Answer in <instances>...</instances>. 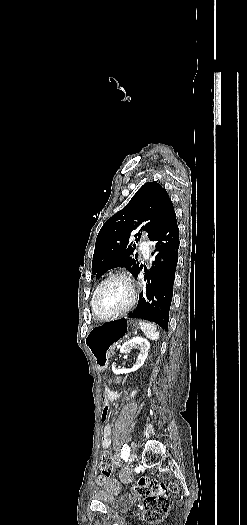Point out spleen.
Returning <instances> with one entry per match:
<instances>
[{
    "mask_svg": "<svg viewBox=\"0 0 247 525\" xmlns=\"http://www.w3.org/2000/svg\"><path fill=\"white\" fill-rule=\"evenodd\" d=\"M140 329L146 335L147 339L151 341H157L160 339V333L157 331V325L155 323H145V321H139Z\"/></svg>",
    "mask_w": 247,
    "mask_h": 525,
    "instance_id": "1",
    "label": "spleen"
}]
</instances>
